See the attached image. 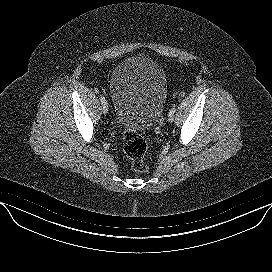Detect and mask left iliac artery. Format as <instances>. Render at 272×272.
Segmentation results:
<instances>
[{"instance_id": "44dca946", "label": "left iliac artery", "mask_w": 272, "mask_h": 272, "mask_svg": "<svg viewBox=\"0 0 272 272\" xmlns=\"http://www.w3.org/2000/svg\"><path fill=\"white\" fill-rule=\"evenodd\" d=\"M175 112H176V106L173 105L172 108L170 109V113L174 114Z\"/></svg>"}]
</instances>
